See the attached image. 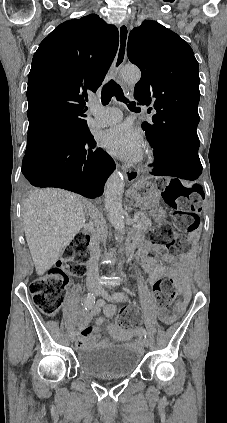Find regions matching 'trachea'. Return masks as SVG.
<instances>
[{
  "instance_id": "1",
  "label": "trachea",
  "mask_w": 227,
  "mask_h": 423,
  "mask_svg": "<svg viewBox=\"0 0 227 423\" xmlns=\"http://www.w3.org/2000/svg\"><path fill=\"white\" fill-rule=\"evenodd\" d=\"M112 97H116L118 102H123L128 104V108L131 111L140 110L138 107L135 106V102H129V100L124 96L123 90L113 79L107 82L104 87L102 88L101 92V102L103 105H108L111 101Z\"/></svg>"
}]
</instances>
